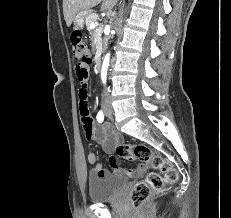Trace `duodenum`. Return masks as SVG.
<instances>
[{
	"instance_id": "obj_1",
	"label": "duodenum",
	"mask_w": 231,
	"mask_h": 218,
	"mask_svg": "<svg viewBox=\"0 0 231 218\" xmlns=\"http://www.w3.org/2000/svg\"><path fill=\"white\" fill-rule=\"evenodd\" d=\"M94 65L97 69H99L101 65V54L100 52H97L94 56Z\"/></svg>"
}]
</instances>
